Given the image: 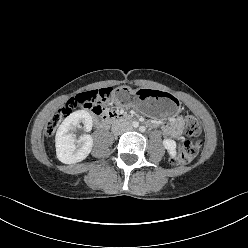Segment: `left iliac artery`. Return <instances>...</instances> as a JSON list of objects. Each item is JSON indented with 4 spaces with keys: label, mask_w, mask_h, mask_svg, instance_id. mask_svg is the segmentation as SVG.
I'll list each match as a JSON object with an SVG mask.
<instances>
[{
    "label": "left iliac artery",
    "mask_w": 248,
    "mask_h": 248,
    "mask_svg": "<svg viewBox=\"0 0 248 248\" xmlns=\"http://www.w3.org/2000/svg\"><path fill=\"white\" fill-rule=\"evenodd\" d=\"M140 130H141V131H144L145 129H144V127H140Z\"/></svg>",
    "instance_id": "1"
}]
</instances>
